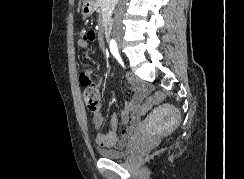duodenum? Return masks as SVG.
<instances>
[{"mask_svg": "<svg viewBox=\"0 0 244 179\" xmlns=\"http://www.w3.org/2000/svg\"><path fill=\"white\" fill-rule=\"evenodd\" d=\"M102 34L105 40H110V26L109 24H105L102 30Z\"/></svg>", "mask_w": 244, "mask_h": 179, "instance_id": "410a0bca", "label": "duodenum"}]
</instances>
